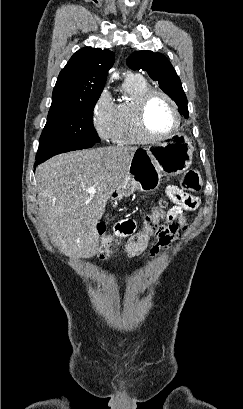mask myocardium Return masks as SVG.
I'll use <instances>...</instances> for the list:
<instances>
[{"label": "myocardium", "mask_w": 243, "mask_h": 409, "mask_svg": "<svg viewBox=\"0 0 243 409\" xmlns=\"http://www.w3.org/2000/svg\"><path fill=\"white\" fill-rule=\"evenodd\" d=\"M154 95H159L163 97L171 106L174 119H175V124L173 128L162 135H154L152 134L146 125V120H145V113H146V108L148 105L149 100L154 96ZM132 120H133V125L134 128L139 135V137L143 141L147 142H156V141H161L164 140L170 136H173L181 126V115L178 109V106L174 99L164 92L161 89H156V88H150L147 91H145L143 94L139 96V98L136 100L132 107Z\"/></svg>", "instance_id": "1"}]
</instances>
